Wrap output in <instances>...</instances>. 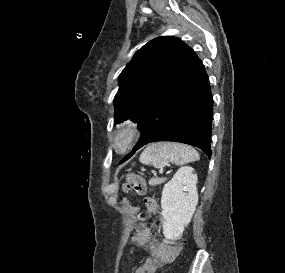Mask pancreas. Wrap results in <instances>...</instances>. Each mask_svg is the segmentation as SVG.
I'll return each mask as SVG.
<instances>
[{
	"instance_id": "cf45deb5",
	"label": "pancreas",
	"mask_w": 285,
	"mask_h": 273,
	"mask_svg": "<svg viewBox=\"0 0 285 273\" xmlns=\"http://www.w3.org/2000/svg\"><path fill=\"white\" fill-rule=\"evenodd\" d=\"M163 182H165V179H163V178H153V179L149 180V185L157 186V185L162 184Z\"/></svg>"
}]
</instances>
